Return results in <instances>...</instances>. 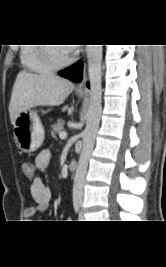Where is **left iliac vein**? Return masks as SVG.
<instances>
[{"instance_id": "left-iliac-vein-1", "label": "left iliac vein", "mask_w": 166, "mask_h": 267, "mask_svg": "<svg viewBox=\"0 0 166 267\" xmlns=\"http://www.w3.org/2000/svg\"><path fill=\"white\" fill-rule=\"evenodd\" d=\"M79 219H80V221H84V214L82 211H80V213H79Z\"/></svg>"}]
</instances>
